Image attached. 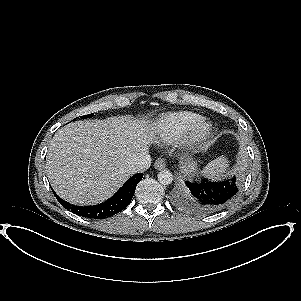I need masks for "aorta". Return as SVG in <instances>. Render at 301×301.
I'll return each mask as SVG.
<instances>
[{"label": "aorta", "instance_id": "aorta-1", "mask_svg": "<svg viewBox=\"0 0 301 301\" xmlns=\"http://www.w3.org/2000/svg\"><path fill=\"white\" fill-rule=\"evenodd\" d=\"M158 181L162 184V185H169L172 183L173 181V175L172 172H170L169 170H161L158 175Z\"/></svg>", "mask_w": 301, "mask_h": 301}]
</instances>
